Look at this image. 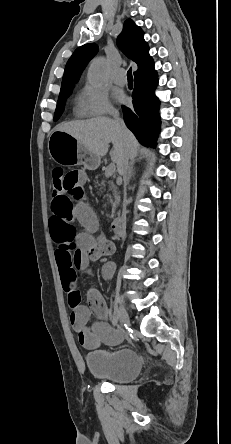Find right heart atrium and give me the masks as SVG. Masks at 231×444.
<instances>
[{
	"mask_svg": "<svg viewBox=\"0 0 231 444\" xmlns=\"http://www.w3.org/2000/svg\"><path fill=\"white\" fill-rule=\"evenodd\" d=\"M77 111L83 117H101L115 114L108 94L92 85H85L78 96Z\"/></svg>",
	"mask_w": 231,
	"mask_h": 444,
	"instance_id": "1",
	"label": "right heart atrium"
}]
</instances>
